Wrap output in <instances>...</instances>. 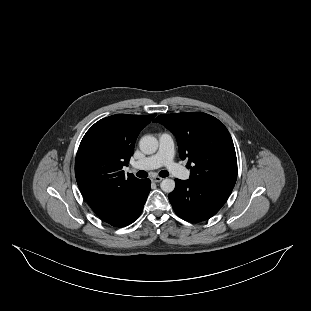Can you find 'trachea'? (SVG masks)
Segmentation results:
<instances>
[{
	"mask_svg": "<svg viewBox=\"0 0 311 311\" xmlns=\"http://www.w3.org/2000/svg\"><path fill=\"white\" fill-rule=\"evenodd\" d=\"M158 174L160 177H164V178L168 176V172L166 170H162ZM136 175L137 177H140V178H146L148 176V173L144 170H140L136 173Z\"/></svg>",
	"mask_w": 311,
	"mask_h": 311,
	"instance_id": "trachea-1",
	"label": "trachea"
}]
</instances>
